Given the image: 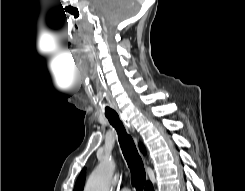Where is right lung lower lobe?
<instances>
[{
	"label": "right lung lower lobe",
	"mask_w": 245,
	"mask_h": 191,
	"mask_svg": "<svg viewBox=\"0 0 245 191\" xmlns=\"http://www.w3.org/2000/svg\"><path fill=\"white\" fill-rule=\"evenodd\" d=\"M145 191H154L153 185L150 181H147L146 186H145Z\"/></svg>",
	"instance_id": "obj_1"
}]
</instances>
